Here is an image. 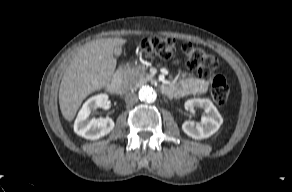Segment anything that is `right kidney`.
I'll return each mask as SVG.
<instances>
[{
	"instance_id": "ca27d5eb",
	"label": "right kidney",
	"mask_w": 292,
	"mask_h": 192,
	"mask_svg": "<svg viewBox=\"0 0 292 192\" xmlns=\"http://www.w3.org/2000/svg\"><path fill=\"white\" fill-rule=\"evenodd\" d=\"M107 105V94H98L89 98L77 115L74 123L75 133L89 140H97L110 133L115 125L111 118L88 119L92 111L98 107L106 108Z\"/></svg>"
}]
</instances>
